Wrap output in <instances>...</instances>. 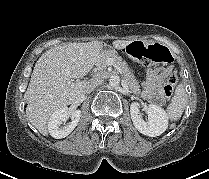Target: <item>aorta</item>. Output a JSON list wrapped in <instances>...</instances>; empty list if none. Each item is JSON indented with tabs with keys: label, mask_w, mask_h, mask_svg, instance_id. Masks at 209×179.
<instances>
[{
	"label": "aorta",
	"mask_w": 209,
	"mask_h": 179,
	"mask_svg": "<svg viewBox=\"0 0 209 179\" xmlns=\"http://www.w3.org/2000/svg\"><path fill=\"white\" fill-rule=\"evenodd\" d=\"M119 83H120V78H119V76L114 75V76H111V77H110V79H109V84H110V86L116 87V86L119 85Z\"/></svg>",
	"instance_id": "1"
}]
</instances>
